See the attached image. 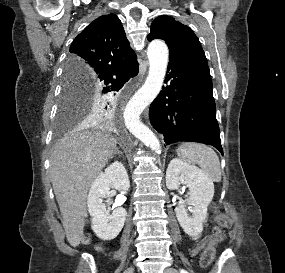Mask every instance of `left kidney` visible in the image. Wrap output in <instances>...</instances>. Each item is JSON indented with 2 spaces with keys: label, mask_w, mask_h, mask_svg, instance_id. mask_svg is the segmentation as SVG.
Returning a JSON list of instances; mask_svg holds the SVG:
<instances>
[{
  "label": "left kidney",
  "mask_w": 285,
  "mask_h": 273,
  "mask_svg": "<svg viewBox=\"0 0 285 273\" xmlns=\"http://www.w3.org/2000/svg\"><path fill=\"white\" fill-rule=\"evenodd\" d=\"M181 183L189 188L190 196L185 201L179 199L178 206L175 208L176 217L187 235L198 238L207 217V207L214 196V185L199 168L174 158L166 171V186L170 190H176ZM185 204L192 206L191 216Z\"/></svg>",
  "instance_id": "1"
}]
</instances>
